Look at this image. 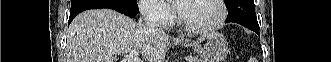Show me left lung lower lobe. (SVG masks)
Returning a JSON list of instances; mask_svg holds the SVG:
<instances>
[{"mask_svg": "<svg viewBox=\"0 0 331 62\" xmlns=\"http://www.w3.org/2000/svg\"><path fill=\"white\" fill-rule=\"evenodd\" d=\"M235 23L241 24L244 27L249 28L250 30L259 34V25L258 23L244 22V21H235Z\"/></svg>", "mask_w": 331, "mask_h": 62, "instance_id": "1", "label": "left lung lower lobe"}]
</instances>
